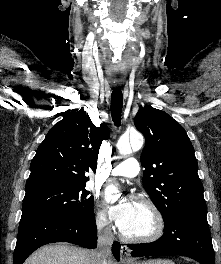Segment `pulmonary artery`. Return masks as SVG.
Returning a JSON list of instances; mask_svg holds the SVG:
<instances>
[{
	"label": "pulmonary artery",
	"mask_w": 221,
	"mask_h": 264,
	"mask_svg": "<svg viewBox=\"0 0 221 264\" xmlns=\"http://www.w3.org/2000/svg\"><path fill=\"white\" fill-rule=\"evenodd\" d=\"M139 163L135 158H128L118 164L111 172L112 176L135 177L139 173Z\"/></svg>",
	"instance_id": "1"
}]
</instances>
